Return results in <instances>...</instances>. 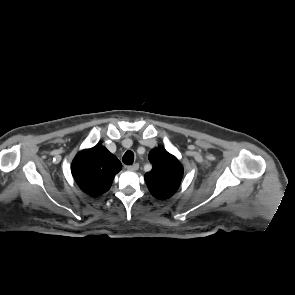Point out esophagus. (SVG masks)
I'll use <instances>...</instances> for the list:
<instances>
[{"instance_id":"obj_1","label":"esophagus","mask_w":295,"mask_h":295,"mask_svg":"<svg viewBox=\"0 0 295 295\" xmlns=\"http://www.w3.org/2000/svg\"><path fill=\"white\" fill-rule=\"evenodd\" d=\"M138 169H139V164L138 163L127 166V170H129V171H137Z\"/></svg>"}]
</instances>
